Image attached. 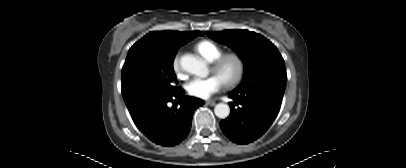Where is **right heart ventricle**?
<instances>
[{
	"instance_id": "right-heart-ventricle-1",
	"label": "right heart ventricle",
	"mask_w": 406,
	"mask_h": 168,
	"mask_svg": "<svg viewBox=\"0 0 406 168\" xmlns=\"http://www.w3.org/2000/svg\"><path fill=\"white\" fill-rule=\"evenodd\" d=\"M196 50L209 62H213L223 54V49L209 40H202L196 44Z\"/></svg>"
}]
</instances>
